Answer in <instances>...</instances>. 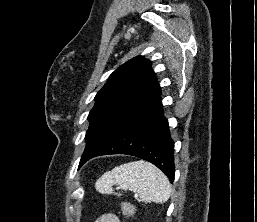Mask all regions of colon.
<instances>
[{"instance_id": "1", "label": "colon", "mask_w": 257, "mask_h": 222, "mask_svg": "<svg viewBox=\"0 0 257 222\" xmlns=\"http://www.w3.org/2000/svg\"><path fill=\"white\" fill-rule=\"evenodd\" d=\"M122 213L126 216L129 217L132 213L131 209L129 208V206L127 204H123L122 207Z\"/></svg>"}]
</instances>
